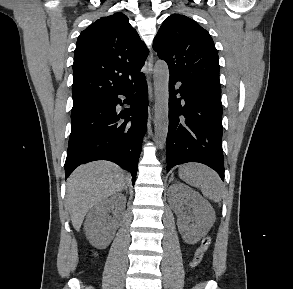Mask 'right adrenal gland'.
<instances>
[{"instance_id":"1","label":"right adrenal gland","mask_w":293,"mask_h":289,"mask_svg":"<svg viewBox=\"0 0 293 289\" xmlns=\"http://www.w3.org/2000/svg\"><path fill=\"white\" fill-rule=\"evenodd\" d=\"M123 190H125V191H126V193H128V188H127V186H126V185H125V187L123 188ZM123 190H121V192H122Z\"/></svg>"}]
</instances>
